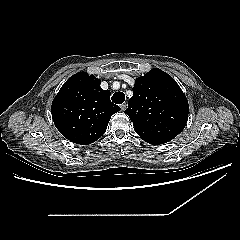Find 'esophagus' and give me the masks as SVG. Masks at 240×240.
Wrapping results in <instances>:
<instances>
[{"instance_id":"1","label":"esophagus","mask_w":240,"mask_h":240,"mask_svg":"<svg viewBox=\"0 0 240 240\" xmlns=\"http://www.w3.org/2000/svg\"><path fill=\"white\" fill-rule=\"evenodd\" d=\"M120 108H121V110L122 111H124L126 108H127V103H122L121 105H120Z\"/></svg>"}]
</instances>
